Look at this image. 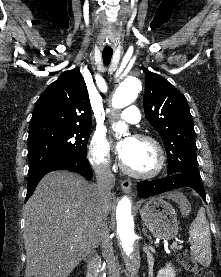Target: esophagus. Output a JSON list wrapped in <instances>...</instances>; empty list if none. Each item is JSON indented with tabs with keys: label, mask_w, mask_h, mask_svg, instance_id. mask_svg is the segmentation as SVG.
Returning a JSON list of instances; mask_svg holds the SVG:
<instances>
[{
	"label": "esophagus",
	"mask_w": 221,
	"mask_h": 277,
	"mask_svg": "<svg viewBox=\"0 0 221 277\" xmlns=\"http://www.w3.org/2000/svg\"><path fill=\"white\" fill-rule=\"evenodd\" d=\"M131 186H132V182L130 180H124L121 183V189L124 193H130L131 192Z\"/></svg>",
	"instance_id": "obj_1"
}]
</instances>
